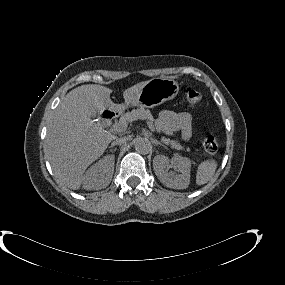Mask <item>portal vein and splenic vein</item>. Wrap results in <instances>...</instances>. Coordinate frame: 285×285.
I'll use <instances>...</instances> for the list:
<instances>
[{
    "mask_svg": "<svg viewBox=\"0 0 285 285\" xmlns=\"http://www.w3.org/2000/svg\"><path fill=\"white\" fill-rule=\"evenodd\" d=\"M148 125H149V128L152 129V124H150V123L148 122ZM126 128H127V125H125V124H119V125L116 126V129H117L119 132L124 131Z\"/></svg>",
    "mask_w": 285,
    "mask_h": 285,
    "instance_id": "1",
    "label": "portal vein and splenic vein"
}]
</instances>
